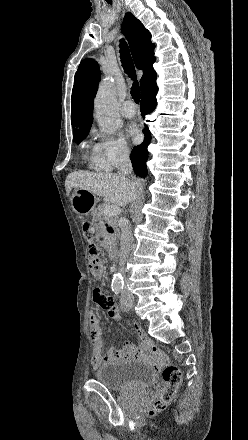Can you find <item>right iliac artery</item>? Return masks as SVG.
Here are the masks:
<instances>
[{
    "instance_id": "1",
    "label": "right iliac artery",
    "mask_w": 248,
    "mask_h": 440,
    "mask_svg": "<svg viewBox=\"0 0 248 440\" xmlns=\"http://www.w3.org/2000/svg\"><path fill=\"white\" fill-rule=\"evenodd\" d=\"M115 293H118L120 291L119 287H115L114 289H112Z\"/></svg>"
}]
</instances>
